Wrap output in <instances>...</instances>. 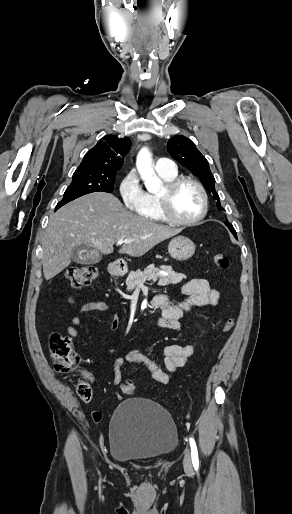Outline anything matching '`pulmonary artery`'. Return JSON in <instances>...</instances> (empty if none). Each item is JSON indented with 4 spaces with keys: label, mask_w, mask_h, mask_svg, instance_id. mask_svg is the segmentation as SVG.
Listing matches in <instances>:
<instances>
[{
    "label": "pulmonary artery",
    "mask_w": 292,
    "mask_h": 514,
    "mask_svg": "<svg viewBox=\"0 0 292 514\" xmlns=\"http://www.w3.org/2000/svg\"><path fill=\"white\" fill-rule=\"evenodd\" d=\"M157 168L158 173L165 176L171 177L177 174V167L171 156H161Z\"/></svg>",
    "instance_id": "obj_1"
}]
</instances>
